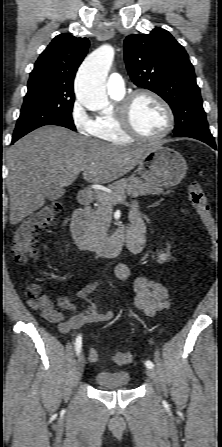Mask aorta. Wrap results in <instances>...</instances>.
I'll return each mask as SVG.
<instances>
[{
	"instance_id": "1",
	"label": "aorta",
	"mask_w": 222,
	"mask_h": 447,
	"mask_svg": "<svg viewBox=\"0 0 222 447\" xmlns=\"http://www.w3.org/2000/svg\"><path fill=\"white\" fill-rule=\"evenodd\" d=\"M114 54L112 46L102 45L87 56L78 70L75 82L76 98L91 111H106L109 108L105 80Z\"/></svg>"
}]
</instances>
